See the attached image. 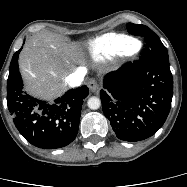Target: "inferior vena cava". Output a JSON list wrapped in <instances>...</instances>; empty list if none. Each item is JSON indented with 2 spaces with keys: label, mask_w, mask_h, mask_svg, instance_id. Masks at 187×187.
Listing matches in <instances>:
<instances>
[{
  "label": "inferior vena cava",
  "mask_w": 187,
  "mask_h": 187,
  "mask_svg": "<svg viewBox=\"0 0 187 187\" xmlns=\"http://www.w3.org/2000/svg\"><path fill=\"white\" fill-rule=\"evenodd\" d=\"M85 75L86 70L84 68H78L67 77L66 82L70 87H78L81 85Z\"/></svg>",
  "instance_id": "602c4592"
}]
</instances>
